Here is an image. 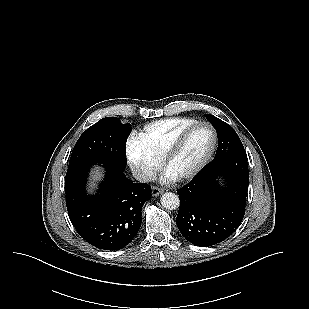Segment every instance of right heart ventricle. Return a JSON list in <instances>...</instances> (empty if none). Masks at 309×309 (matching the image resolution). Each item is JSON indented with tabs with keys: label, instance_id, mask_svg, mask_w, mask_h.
<instances>
[{
	"label": "right heart ventricle",
	"instance_id": "1",
	"mask_svg": "<svg viewBox=\"0 0 309 309\" xmlns=\"http://www.w3.org/2000/svg\"><path fill=\"white\" fill-rule=\"evenodd\" d=\"M192 118H169L146 125L139 133L138 141L158 159H162L172 142L189 125Z\"/></svg>",
	"mask_w": 309,
	"mask_h": 309
}]
</instances>
